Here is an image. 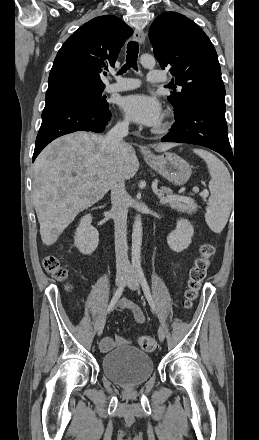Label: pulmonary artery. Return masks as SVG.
I'll use <instances>...</instances> for the list:
<instances>
[{"mask_svg": "<svg viewBox=\"0 0 259 440\" xmlns=\"http://www.w3.org/2000/svg\"><path fill=\"white\" fill-rule=\"evenodd\" d=\"M167 78L159 71L157 70H151L148 73L147 81L149 83L155 84V83H162L165 82ZM140 85L139 80L135 78H127V77H121L117 76L115 77V82L108 84L105 88L106 92H117V91H126L135 89Z\"/></svg>", "mask_w": 259, "mask_h": 440, "instance_id": "obj_1", "label": "pulmonary artery"}]
</instances>
